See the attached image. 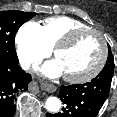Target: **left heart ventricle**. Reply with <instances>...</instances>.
<instances>
[{
    "instance_id": "obj_1",
    "label": "left heart ventricle",
    "mask_w": 117,
    "mask_h": 117,
    "mask_svg": "<svg viewBox=\"0 0 117 117\" xmlns=\"http://www.w3.org/2000/svg\"><path fill=\"white\" fill-rule=\"evenodd\" d=\"M101 44L93 33L79 36L69 47L60 50L56 56L63 75L80 76L98 63L101 57Z\"/></svg>"
}]
</instances>
